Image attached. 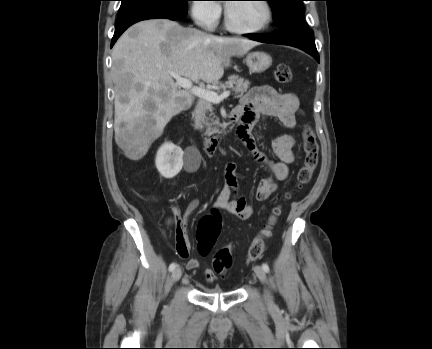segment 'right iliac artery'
<instances>
[{"instance_id":"right-iliac-artery-1","label":"right iliac artery","mask_w":432,"mask_h":349,"mask_svg":"<svg viewBox=\"0 0 432 349\" xmlns=\"http://www.w3.org/2000/svg\"><path fill=\"white\" fill-rule=\"evenodd\" d=\"M175 267H176V264L175 263H171L170 266H169V271H173L175 269Z\"/></svg>"}]
</instances>
